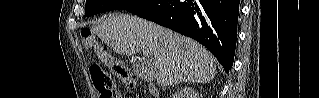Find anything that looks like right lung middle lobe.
I'll return each mask as SVG.
<instances>
[{
	"instance_id": "obj_1",
	"label": "right lung middle lobe",
	"mask_w": 319,
	"mask_h": 98,
	"mask_svg": "<svg viewBox=\"0 0 319 98\" xmlns=\"http://www.w3.org/2000/svg\"><path fill=\"white\" fill-rule=\"evenodd\" d=\"M149 0H87L85 15L90 17L94 14L110 10H131L147 4Z\"/></svg>"
}]
</instances>
